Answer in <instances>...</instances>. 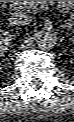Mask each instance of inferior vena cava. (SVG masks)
<instances>
[{
  "instance_id": "1",
  "label": "inferior vena cava",
  "mask_w": 74,
  "mask_h": 122,
  "mask_svg": "<svg viewBox=\"0 0 74 122\" xmlns=\"http://www.w3.org/2000/svg\"><path fill=\"white\" fill-rule=\"evenodd\" d=\"M10 20L14 25L24 26L31 23L32 16L23 10H19L11 14Z\"/></svg>"
}]
</instances>
